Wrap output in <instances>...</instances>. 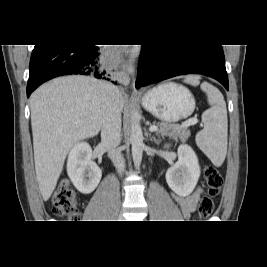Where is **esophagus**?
<instances>
[{"label":"esophagus","instance_id":"obj_1","mask_svg":"<svg viewBox=\"0 0 267 267\" xmlns=\"http://www.w3.org/2000/svg\"><path fill=\"white\" fill-rule=\"evenodd\" d=\"M124 51L126 54L130 53L129 48H125ZM117 77H118L119 82H121V81L129 82L130 81L128 74H126L125 72L118 73ZM132 86L134 87V80L132 81Z\"/></svg>","mask_w":267,"mask_h":267}]
</instances>
